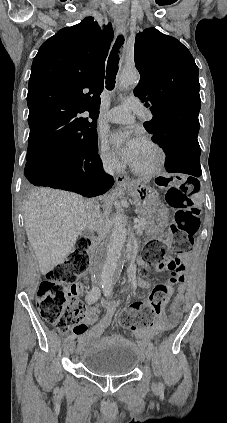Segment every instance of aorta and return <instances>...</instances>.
<instances>
[{
  "label": "aorta",
  "instance_id": "obj_1",
  "mask_svg": "<svg viewBox=\"0 0 227 423\" xmlns=\"http://www.w3.org/2000/svg\"><path fill=\"white\" fill-rule=\"evenodd\" d=\"M138 79L136 70H124L119 76L120 87L126 89L135 84ZM113 224L110 240L97 248L93 259V268L102 286H111L116 282L124 265L126 224L120 215L114 217Z\"/></svg>",
  "mask_w": 227,
  "mask_h": 423
}]
</instances>
